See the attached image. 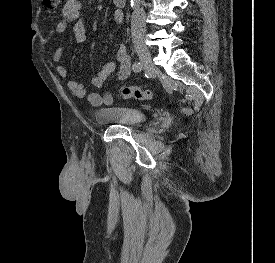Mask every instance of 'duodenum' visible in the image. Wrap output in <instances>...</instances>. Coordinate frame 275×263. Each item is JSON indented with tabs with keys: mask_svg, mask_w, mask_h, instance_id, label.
Here are the masks:
<instances>
[{
	"mask_svg": "<svg viewBox=\"0 0 275 263\" xmlns=\"http://www.w3.org/2000/svg\"><path fill=\"white\" fill-rule=\"evenodd\" d=\"M115 5L118 7H124L127 3V0H113Z\"/></svg>",
	"mask_w": 275,
	"mask_h": 263,
	"instance_id": "410a0bca",
	"label": "duodenum"
}]
</instances>
